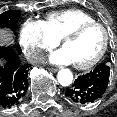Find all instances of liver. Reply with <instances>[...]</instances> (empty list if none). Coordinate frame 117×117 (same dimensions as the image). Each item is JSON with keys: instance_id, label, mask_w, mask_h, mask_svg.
<instances>
[{"instance_id": "1", "label": "liver", "mask_w": 117, "mask_h": 117, "mask_svg": "<svg viewBox=\"0 0 117 117\" xmlns=\"http://www.w3.org/2000/svg\"><path fill=\"white\" fill-rule=\"evenodd\" d=\"M12 35L7 30H0V45H8L12 40Z\"/></svg>"}]
</instances>
